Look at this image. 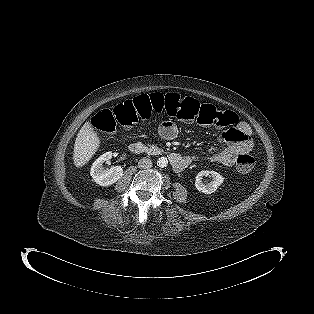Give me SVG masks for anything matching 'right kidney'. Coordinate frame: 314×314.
Returning <instances> with one entry per match:
<instances>
[{
    "label": "right kidney",
    "mask_w": 314,
    "mask_h": 314,
    "mask_svg": "<svg viewBox=\"0 0 314 314\" xmlns=\"http://www.w3.org/2000/svg\"><path fill=\"white\" fill-rule=\"evenodd\" d=\"M111 157L112 152H106L92 164L90 174L94 182L100 186L112 185L123 176V169L120 166H113L110 169L103 167V163Z\"/></svg>",
    "instance_id": "right-kidney-1"
}]
</instances>
